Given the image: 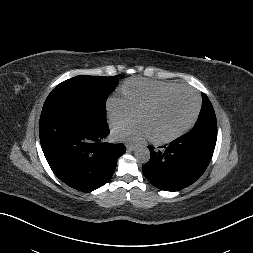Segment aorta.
<instances>
[{
    "label": "aorta",
    "instance_id": "762f6f07",
    "mask_svg": "<svg viewBox=\"0 0 253 253\" xmlns=\"http://www.w3.org/2000/svg\"><path fill=\"white\" fill-rule=\"evenodd\" d=\"M134 155L136 160L143 164L147 163L150 159V151L144 145L137 146L134 150Z\"/></svg>",
    "mask_w": 253,
    "mask_h": 253
}]
</instances>
